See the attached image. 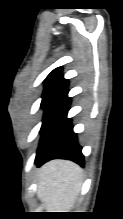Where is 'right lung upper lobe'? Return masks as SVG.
Instances as JSON below:
<instances>
[{"label":"right lung upper lobe","instance_id":"obj_1","mask_svg":"<svg viewBox=\"0 0 123 219\" xmlns=\"http://www.w3.org/2000/svg\"><path fill=\"white\" fill-rule=\"evenodd\" d=\"M55 82H67V80L63 78L61 67L54 69L45 79L46 85Z\"/></svg>","mask_w":123,"mask_h":219}]
</instances>
